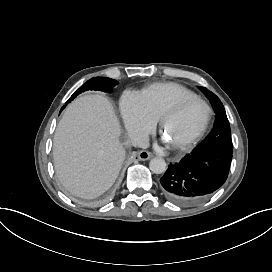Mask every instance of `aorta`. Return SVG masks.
Returning a JSON list of instances; mask_svg holds the SVG:
<instances>
[{
	"label": "aorta",
	"mask_w": 272,
	"mask_h": 272,
	"mask_svg": "<svg viewBox=\"0 0 272 272\" xmlns=\"http://www.w3.org/2000/svg\"><path fill=\"white\" fill-rule=\"evenodd\" d=\"M150 170L155 174H162L166 171V162L161 158H154L149 163Z\"/></svg>",
	"instance_id": "obj_1"
}]
</instances>
